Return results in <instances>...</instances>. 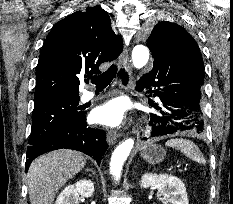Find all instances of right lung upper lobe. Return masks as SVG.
Segmentation results:
<instances>
[{
    "instance_id": "obj_1",
    "label": "right lung upper lobe",
    "mask_w": 233,
    "mask_h": 204,
    "mask_svg": "<svg viewBox=\"0 0 233 204\" xmlns=\"http://www.w3.org/2000/svg\"><path fill=\"white\" fill-rule=\"evenodd\" d=\"M122 49L121 36L114 33L109 15L100 6L60 20L40 52L34 103L50 97L79 96V76L90 78L100 73L99 65L116 59Z\"/></svg>"
}]
</instances>
